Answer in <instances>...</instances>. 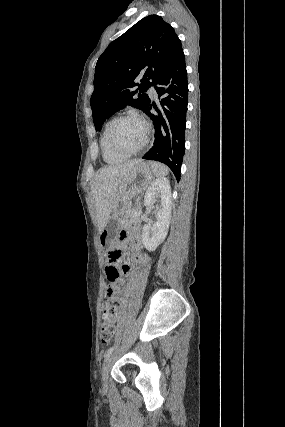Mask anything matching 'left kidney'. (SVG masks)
I'll return each instance as SVG.
<instances>
[{
  "mask_svg": "<svg viewBox=\"0 0 285 427\" xmlns=\"http://www.w3.org/2000/svg\"><path fill=\"white\" fill-rule=\"evenodd\" d=\"M160 199L159 207H156V219L154 224L143 226L142 242L149 251H154L166 238L171 219V187L167 178H158L148 187L144 196V206L154 208L156 199Z\"/></svg>",
  "mask_w": 285,
  "mask_h": 427,
  "instance_id": "5707ae66",
  "label": "left kidney"
}]
</instances>
